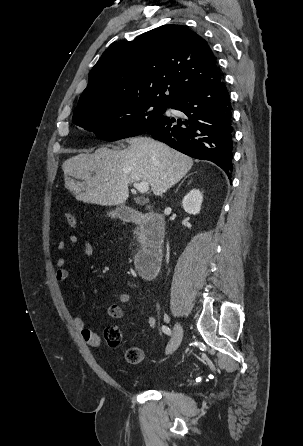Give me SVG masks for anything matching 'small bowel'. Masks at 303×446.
Listing matches in <instances>:
<instances>
[{
  "label": "small bowel",
  "instance_id": "obj_1",
  "mask_svg": "<svg viewBox=\"0 0 303 446\" xmlns=\"http://www.w3.org/2000/svg\"><path fill=\"white\" fill-rule=\"evenodd\" d=\"M78 242V237L75 234H70L67 239L61 240L57 244V248L60 251H66L76 245ZM94 253V247L89 241H85L83 245V257L85 259H89ZM68 262L65 258H59L56 262V272L55 277L56 280L64 284L67 282L69 278V271L67 269ZM130 299V296L127 293H120L116 296L117 303L111 304L108 309V315L113 319H121L125 315V310L123 305L126 304ZM72 322L74 328L80 333L82 340L91 347H100L101 339L100 337L89 329L85 323V321L78 317L73 316ZM148 325L150 327H155L156 320L154 317L150 316L148 318Z\"/></svg>",
  "mask_w": 303,
  "mask_h": 446
}]
</instances>
